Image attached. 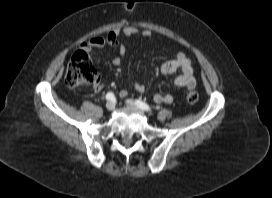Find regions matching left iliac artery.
<instances>
[{"instance_id":"obj_1","label":"left iliac artery","mask_w":272,"mask_h":198,"mask_svg":"<svg viewBox=\"0 0 272 198\" xmlns=\"http://www.w3.org/2000/svg\"><path fill=\"white\" fill-rule=\"evenodd\" d=\"M135 103L140 109L145 110V111H151V108L147 103H145L141 100H136Z\"/></svg>"}]
</instances>
